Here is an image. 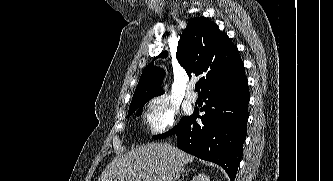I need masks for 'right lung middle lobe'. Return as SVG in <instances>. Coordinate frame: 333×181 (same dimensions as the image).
<instances>
[{
	"label": "right lung middle lobe",
	"instance_id": "obj_1",
	"mask_svg": "<svg viewBox=\"0 0 333 181\" xmlns=\"http://www.w3.org/2000/svg\"><path fill=\"white\" fill-rule=\"evenodd\" d=\"M146 102H147V101L142 102V103H140V104H138V105H136V106H133V107L129 108L128 117H129L130 115H132V114L136 111V109H137L139 106H141V108H140V109L137 111V113H136V115L139 116V115L142 113V107H143V105H144ZM181 120H182V119H181ZM181 120H180V121H181ZM179 123H180V122H179ZM177 126H178V125H177ZM177 126H175L173 129H171L170 131H168V132H166V133H164V134H161V135H155V136H153V138H154V139H162V138H165V137H167V136L173 134V133L175 132Z\"/></svg>",
	"mask_w": 333,
	"mask_h": 181
}]
</instances>
